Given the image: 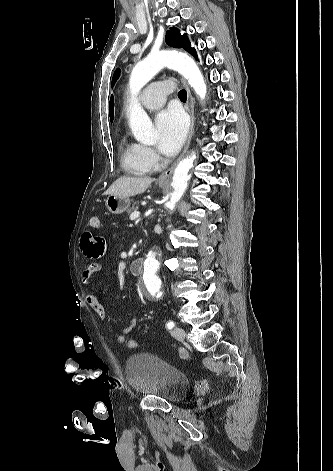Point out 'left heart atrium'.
<instances>
[{"label":"left heart atrium","instance_id":"obj_1","mask_svg":"<svg viewBox=\"0 0 333 471\" xmlns=\"http://www.w3.org/2000/svg\"><path fill=\"white\" fill-rule=\"evenodd\" d=\"M188 129V121L182 111L168 108L156 117L157 148L165 155H174L182 146Z\"/></svg>","mask_w":333,"mask_h":471}]
</instances>
